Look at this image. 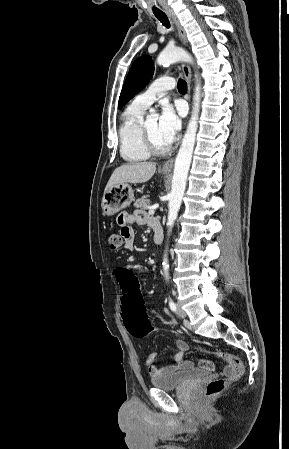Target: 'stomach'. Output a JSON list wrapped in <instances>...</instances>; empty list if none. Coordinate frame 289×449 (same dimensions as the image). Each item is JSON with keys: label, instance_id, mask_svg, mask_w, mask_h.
<instances>
[{"label": "stomach", "instance_id": "obj_1", "mask_svg": "<svg viewBox=\"0 0 289 449\" xmlns=\"http://www.w3.org/2000/svg\"><path fill=\"white\" fill-rule=\"evenodd\" d=\"M134 201V191L129 183L123 182L110 187L103 195V213L111 216L127 208Z\"/></svg>", "mask_w": 289, "mask_h": 449}]
</instances>
